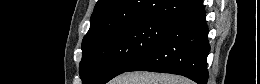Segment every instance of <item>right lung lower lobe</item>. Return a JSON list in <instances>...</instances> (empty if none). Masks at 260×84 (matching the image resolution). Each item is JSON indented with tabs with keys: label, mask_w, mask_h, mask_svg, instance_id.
<instances>
[{
	"label": "right lung lower lobe",
	"mask_w": 260,
	"mask_h": 84,
	"mask_svg": "<svg viewBox=\"0 0 260 84\" xmlns=\"http://www.w3.org/2000/svg\"><path fill=\"white\" fill-rule=\"evenodd\" d=\"M203 4L172 23L155 45L126 71H153L182 75L198 84L208 80L210 50Z\"/></svg>",
	"instance_id": "obj_1"
}]
</instances>
